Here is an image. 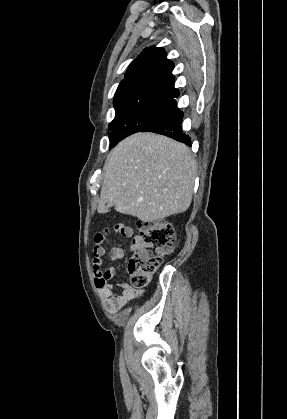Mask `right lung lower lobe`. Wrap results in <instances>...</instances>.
Masks as SVG:
<instances>
[{
	"label": "right lung lower lobe",
	"mask_w": 287,
	"mask_h": 419,
	"mask_svg": "<svg viewBox=\"0 0 287 419\" xmlns=\"http://www.w3.org/2000/svg\"><path fill=\"white\" fill-rule=\"evenodd\" d=\"M183 112L177 108V104L173 105L166 113L157 117L140 132H154L173 138L179 142L190 145V139L182 131Z\"/></svg>",
	"instance_id": "obj_1"
}]
</instances>
